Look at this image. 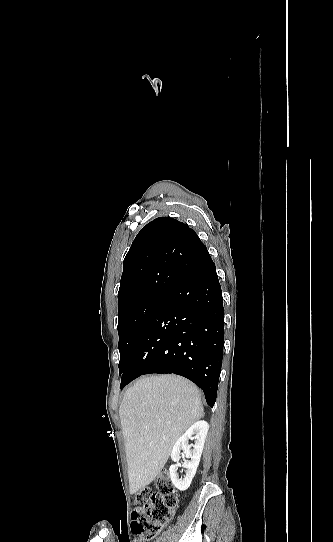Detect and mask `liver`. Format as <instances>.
<instances>
[{"label": "liver", "mask_w": 333, "mask_h": 542, "mask_svg": "<svg viewBox=\"0 0 333 542\" xmlns=\"http://www.w3.org/2000/svg\"><path fill=\"white\" fill-rule=\"evenodd\" d=\"M203 414L198 388L182 376H144L128 388L119 416L130 494L155 480L176 440Z\"/></svg>", "instance_id": "liver-1"}]
</instances>
